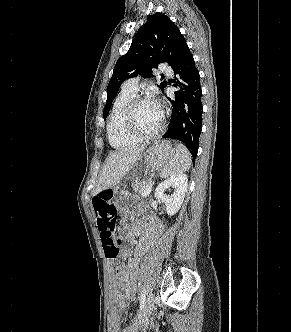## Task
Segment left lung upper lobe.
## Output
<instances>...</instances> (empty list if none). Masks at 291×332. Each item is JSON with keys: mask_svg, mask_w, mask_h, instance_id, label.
<instances>
[{"mask_svg": "<svg viewBox=\"0 0 291 332\" xmlns=\"http://www.w3.org/2000/svg\"><path fill=\"white\" fill-rule=\"evenodd\" d=\"M186 46L183 35L168 16L159 12L150 15L147 22L139 28L128 52L118 59L114 67L107 87L104 119L121 84L126 79L138 74L151 77L150 70L163 62L174 67ZM166 85L167 82L164 81L158 87L163 90ZM198 145L199 143L195 144Z\"/></svg>", "mask_w": 291, "mask_h": 332, "instance_id": "1", "label": "left lung upper lobe"}]
</instances>
